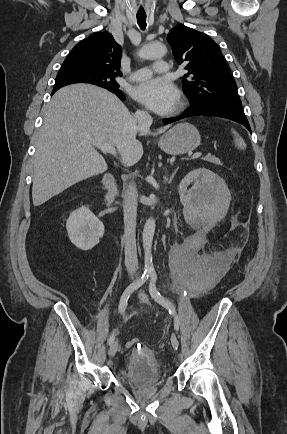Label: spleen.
<instances>
[{"label":"spleen","instance_id":"1","mask_svg":"<svg viewBox=\"0 0 287 434\" xmlns=\"http://www.w3.org/2000/svg\"><path fill=\"white\" fill-rule=\"evenodd\" d=\"M231 132L234 135L235 146L238 147L240 150L246 149V143L243 138L235 130L232 129Z\"/></svg>","mask_w":287,"mask_h":434}]
</instances>
